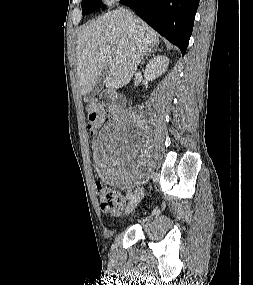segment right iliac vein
<instances>
[{"label":"right iliac vein","mask_w":253,"mask_h":285,"mask_svg":"<svg viewBox=\"0 0 253 285\" xmlns=\"http://www.w3.org/2000/svg\"><path fill=\"white\" fill-rule=\"evenodd\" d=\"M144 195V190L143 188H137L130 200V202L128 203V206L126 208V214L131 213L139 204V202L141 201L142 197Z\"/></svg>","instance_id":"obj_1"}]
</instances>
